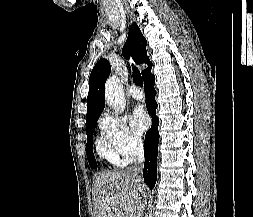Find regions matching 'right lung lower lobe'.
Instances as JSON below:
<instances>
[{
  "instance_id": "obj_1",
  "label": "right lung lower lobe",
  "mask_w": 253,
  "mask_h": 217,
  "mask_svg": "<svg viewBox=\"0 0 253 217\" xmlns=\"http://www.w3.org/2000/svg\"><path fill=\"white\" fill-rule=\"evenodd\" d=\"M155 76L152 73L144 77L146 106L149 114L153 118V125L145 135L144 141V181L150 189L154 188L157 179V152L159 132V119L156 116L157 103L155 101L156 90L154 89Z\"/></svg>"
}]
</instances>
